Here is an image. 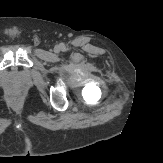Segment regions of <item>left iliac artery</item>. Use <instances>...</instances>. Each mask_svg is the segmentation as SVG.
<instances>
[{"instance_id": "44dca946", "label": "left iliac artery", "mask_w": 163, "mask_h": 163, "mask_svg": "<svg viewBox=\"0 0 163 163\" xmlns=\"http://www.w3.org/2000/svg\"><path fill=\"white\" fill-rule=\"evenodd\" d=\"M61 48H62V51L66 50V47L64 45Z\"/></svg>"}]
</instances>
